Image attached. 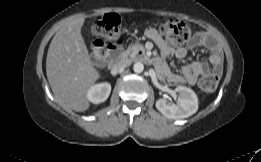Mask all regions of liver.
<instances>
[{
    "mask_svg": "<svg viewBox=\"0 0 261 162\" xmlns=\"http://www.w3.org/2000/svg\"><path fill=\"white\" fill-rule=\"evenodd\" d=\"M84 20L77 18L59 29L46 58V74L56 99L78 112L89 108L87 91L100 77L81 34Z\"/></svg>",
    "mask_w": 261,
    "mask_h": 162,
    "instance_id": "obj_1",
    "label": "liver"
}]
</instances>
